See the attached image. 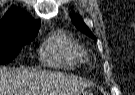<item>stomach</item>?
Segmentation results:
<instances>
[{
    "mask_svg": "<svg viewBox=\"0 0 135 95\" xmlns=\"http://www.w3.org/2000/svg\"><path fill=\"white\" fill-rule=\"evenodd\" d=\"M79 95H93L90 91H82Z\"/></svg>",
    "mask_w": 135,
    "mask_h": 95,
    "instance_id": "stomach-1",
    "label": "stomach"
}]
</instances>
